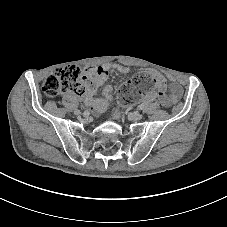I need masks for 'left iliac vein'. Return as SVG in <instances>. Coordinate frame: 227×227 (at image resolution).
Masks as SVG:
<instances>
[{
	"instance_id": "1",
	"label": "left iliac vein",
	"mask_w": 227,
	"mask_h": 227,
	"mask_svg": "<svg viewBox=\"0 0 227 227\" xmlns=\"http://www.w3.org/2000/svg\"><path fill=\"white\" fill-rule=\"evenodd\" d=\"M128 118L133 121H139L143 118V114L140 112H133L128 115Z\"/></svg>"
}]
</instances>
